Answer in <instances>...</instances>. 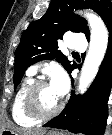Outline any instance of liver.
<instances>
[{
	"mask_svg": "<svg viewBox=\"0 0 112 135\" xmlns=\"http://www.w3.org/2000/svg\"><path fill=\"white\" fill-rule=\"evenodd\" d=\"M11 129V131L14 133V134H17V135H44L45 134V130H36V131H24V130H20L18 128H15V127H9Z\"/></svg>",
	"mask_w": 112,
	"mask_h": 135,
	"instance_id": "liver-1",
	"label": "liver"
}]
</instances>
